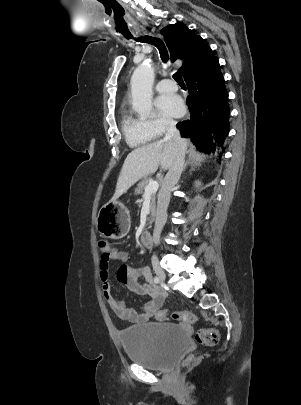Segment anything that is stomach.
Returning a JSON list of instances; mask_svg holds the SVG:
<instances>
[{
  "mask_svg": "<svg viewBox=\"0 0 301 405\" xmlns=\"http://www.w3.org/2000/svg\"><path fill=\"white\" fill-rule=\"evenodd\" d=\"M131 226L130 214L118 201H110L98 212L96 227L99 233L110 239L125 237Z\"/></svg>",
  "mask_w": 301,
  "mask_h": 405,
  "instance_id": "obj_1",
  "label": "stomach"
}]
</instances>
